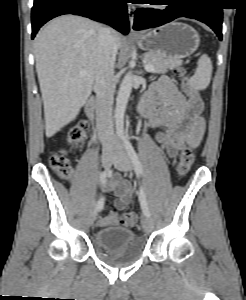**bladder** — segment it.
Masks as SVG:
<instances>
[{"mask_svg": "<svg viewBox=\"0 0 246 300\" xmlns=\"http://www.w3.org/2000/svg\"><path fill=\"white\" fill-rule=\"evenodd\" d=\"M95 245L109 259L119 262L133 260L142 252V244L135 232L122 226L97 231Z\"/></svg>", "mask_w": 246, "mask_h": 300, "instance_id": "31cf9c89", "label": "bladder"}]
</instances>
